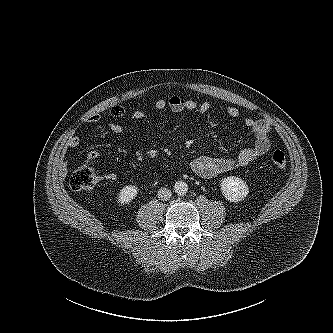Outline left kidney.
Returning <instances> with one entry per match:
<instances>
[{"mask_svg": "<svg viewBox=\"0 0 333 333\" xmlns=\"http://www.w3.org/2000/svg\"><path fill=\"white\" fill-rule=\"evenodd\" d=\"M220 185L224 197L230 202L242 201L249 193L247 184L235 176L222 179Z\"/></svg>", "mask_w": 333, "mask_h": 333, "instance_id": "5707ae66", "label": "left kidney"}]
</instances>
